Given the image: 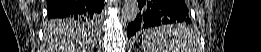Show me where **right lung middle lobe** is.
<instances>
[{"mask_svg":"<svg viewBox=\"0 0 261 52\" xmlns=\"http://www.w3.org/2000/svg\"><path fill=\"white\" fill-rule=\"evenodd\" d=\"M52 23L55 24H75V23H83L85 22L90 28L97 25V19H89L84 16H69L63 18H52Z\"/></svg>","mask_w":261,"mask_h":52,"instance_id":"1","label":"right lung middle lobe"}]
</instances>
